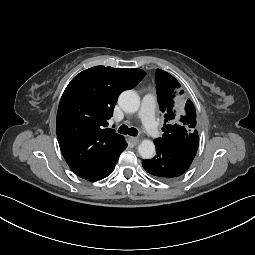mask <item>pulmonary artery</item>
<instances>
[{"mask_svg":"<svg viewBox=\"0 0 255 255\" xmlns=\"http://www.w3.org/2000/svg\"><path fill=\"white\" fill-rule=\"evenodd\" d=\"M154 108V97L152 95H146L142 100L138 115L148 134L152 137H157L159 135V131L155 122Z\"/></svg>","mask_w":255,"mask_h":255,"instance_id":"obj_1","label":"pulmonary artery"}]
</instances>
